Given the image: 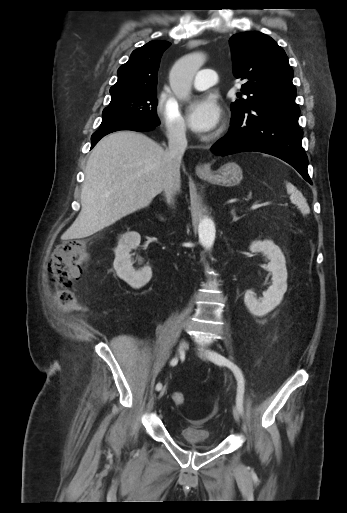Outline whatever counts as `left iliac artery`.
I'll use <instances>...</instances> for the list:
<instances>
[{"label": "left iliac artery", "instance_id": "obj_1", "mask_svg": "<svg viewBox=\"0 0 347 513\" xmlns=\"http://www.w3.org/2000/svg\"><path fill=\"white\" fill-rule=\"evenodd\" d=\"M209 358L212 362H214L217 365H224L227 366L229 369H231L237 379V396H236V405L241 414H243V396H244V389H245V380L244 376L242 374V371L240 368L235 365L233 362L222 356L221 354L217 352H209Z\"/></svg>", "mask_w": 347, "mask_h": 513}]
</instances>
